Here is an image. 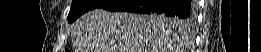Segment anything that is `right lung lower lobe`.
<instances>
[{"label": "right lung lower lobe", "instance_id": "1", "mask_svg": "<svg viewBox=\"0 0 261 52\" xmlns=\"http://www.w3.org/2000/svg\"><path fill=\"white\" fill-rule=\"evenodd\" d=\"M99 8L109 11L155 13L181 19L194 16V3L190 0H108Z\"/></svg>", "mask_w": 261, "mask_h": 52}]
</instances>
